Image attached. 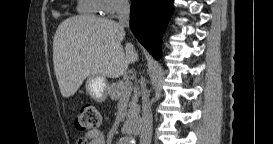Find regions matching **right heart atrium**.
<instances>
[{
  "label": "right heart atrium",
  "instance_id": "1",
  "mask_svg": "<svg viewBox=\"0 0 273 144\" xmlns=\"http://www.w3.org/2000/svg\"><path fill=\"white\" fill-rule=\"evenodd\" d=\"M99 3V12L102 14L114 16L118 11L124 9L128 2L126 0H97Z\"/></svg>",
  "mask_w": 273,
  "mask_h": 144
}]
</instances>
